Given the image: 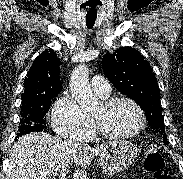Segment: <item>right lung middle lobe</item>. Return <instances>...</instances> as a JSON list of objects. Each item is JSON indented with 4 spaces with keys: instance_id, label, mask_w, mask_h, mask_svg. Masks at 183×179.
Segmentation results:
<instances>
[{
    "instance_id": "right-lung-middle-lobe-1",
    "label": "right lung middle lobe",
    "mask_w": 183,
    "mask_h": 179,
    "mask_svg": "<svg viewBox=\"0 0 183 179\" xmlns=\"http://www.w3.org/2000/svg\"><path fill=\"white\" fill-rule=\"evenodd\" d=\"M55 96L41 97L22 103L17 137L30 132H41L47 128L46 113L51 105V99Z\"/></svg>"
}]
</instances>
